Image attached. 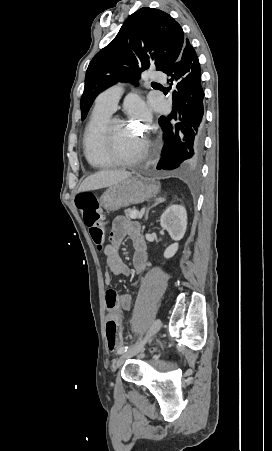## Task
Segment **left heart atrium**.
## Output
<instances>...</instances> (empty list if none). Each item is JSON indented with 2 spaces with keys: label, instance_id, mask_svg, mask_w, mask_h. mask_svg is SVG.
Masks as SVG:
<instances>
[{
  "label": "left heart atrium",
  "instance_id": "39dd6f15",
  "mask_svg": "<svg viewBox=\"0 0 272 451\" xmlns=\"http://www.w3.org/2000/svg\"><path fill=\"white\" fill-rule=\"evenodd\" d=\"M128 110L132 117L138 122L149 123L150 113L148 107L143 102L129 105Z\"/></svg>",
  "mask_w": 272,
  "mask_h": 451
}]
</instances>
